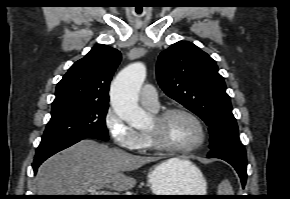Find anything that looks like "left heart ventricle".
Listing matches in <instances>:
<instances>
[{"instance_id": "1", "label": "left heart ventricle", "mask_w": 290, "mask_h": 199, "mask_svg": "<svg viewBox=\"0 0 290 199\" xmlns=\"http://www.w3.org/2000/svg\"><path fill=\"white\" fill-rule=\"evenodd\" d=\"M146 131L157 133L158 138L164 144L177 148L192 146L200 137V132L195 122L183 114L171 115L160 126L152 118Z\"/></svg>"}]
</instances>
